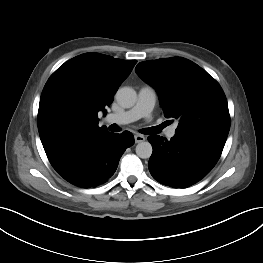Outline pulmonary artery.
<instances>
[{
  "mask_svg": "<svg viewBox=\"0 0 263 263\" xmlns=\"http://www.w3.org/2000/svg\"><path fill=\"white\" fill-rule=\"evenodd\" d=\"M156 103V92L150 86H144L139 90L136 104L129 110L107 115L106 121L117 124H127L140 118L149 117ZM176 126L168 128L166 136L173 138Z\"/></svg>",
  "mask_w": 263,
  "mask_h": 263,
  "instance_id": "1",
  "label": "pulmonary artery"
}]
</instances>
